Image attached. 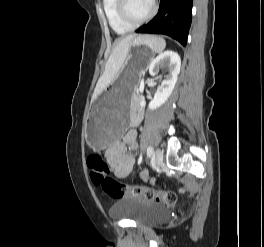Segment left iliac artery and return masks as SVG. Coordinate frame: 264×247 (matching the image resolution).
Returning a JSON list of instances; mask_svg holds the SVG:
<instances>
[{
    "instance_id": "obj_1",
    "label": "left iliac artery",
    "mask_w": 264,
    "mask_h": 247,
    "mask_svg": "<svg viewBox=\"0 0 264 247\" xmlns=\"http://www.w3.org/2000/svg\"><path fill=\"white\" fill-rule=\"evenodd\" d=\"M153 154H154V150H153L152 146H149L147 148V156L151 157Z\"/></svg>"
}]
</instances>
